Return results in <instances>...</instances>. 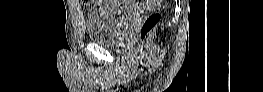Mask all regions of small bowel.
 I'll return each mask as SVG.
<instances>
[{"label": "small bowel", "instance_id": "1", "mask_svg": "<svg viewBox=\"0 0 263 92\" xmlns=\"http://www.w3.org/2000/svg\"><path fill=\"white\" fill-rule=\"evenodd\" d=\"M151 2L158 3L159 1H151ZM128 4H133V5H134V3H128ZM74 7H75L76 10L79 9V5H78L77 2H74ZM135 8H139V7H138V6H135ZM141 10H142V9H141Z\"/></svg>", "mask_w": 263, "mask_h": 92}]
</instances>
